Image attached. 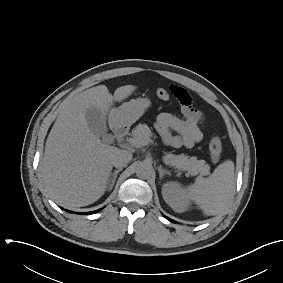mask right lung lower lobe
Here are the masks:
<instances>
[{
  "instance_id": "right-lung-lower-lobe-1",
  "label": "right lung lower lobe",
  "mask_w": 283,
  "mask_h": 283,
  "mask_svg": "<svg viewBox=\"0 0 283 283\" xmlns=\"http://www.w3.org/2000/svg\"><path fill=\"white\" fill-rule=\"evenodd\" d=\"M99 211V210H98ZM95 212H97V211H94V212H89L88 214H92V213H95Z\"/></svg>"
}]
</instances>
